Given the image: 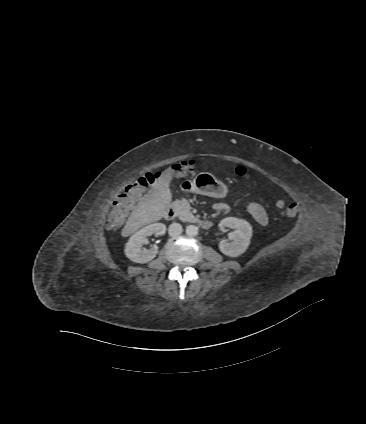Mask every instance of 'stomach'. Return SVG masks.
Wrapping results in <instances>:
<instances>
[{
    "label": "stomach",
    "mask_w": 366,
    "mask_h": 424,
    "mask_svg": "<svg viewBox=\"0 0 366 424\" xmlns=\"http://www.w3.org/2000/svg\"><path fill=\"white\" fill-rule=\"evenodd\" d=\"M183 185H189L193 193L219 199L226 197L228 192L227 186L208 172L199 173L192 181L187 180Z\"/></svg>",
    "instance_id": "0dacf381"
}]
</instances>
